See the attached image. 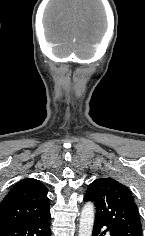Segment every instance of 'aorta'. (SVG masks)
<instances>
[{
  "instance_id": "762f6f07",
  "label": "aorta",
  "mask_w": 145,
  "mask_h": 236,
  "mask_svg": "<svg viewBox=\"0 0 145 236\" xmlns=\"http://www.w3.org/2000/svg\"><path fill=\"white\" fill-rule=\"evenodd\" d=\"M95 208L91 202L86 203L79 221V236H92Z\"/></svg>"
}]
</instances>
